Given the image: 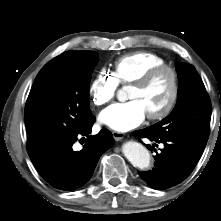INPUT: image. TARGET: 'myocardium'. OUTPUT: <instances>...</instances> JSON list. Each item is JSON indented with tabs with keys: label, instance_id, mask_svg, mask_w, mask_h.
Listing matches in <instances>:
<instances>
[{
	"label": "myocardium",
	"instance_id": "obj_1",
	"mask_svg": "<svg viewBox=\"0 0 221 221\" xmlns=\"http://www.w3.org/2000/svg\"><path fill=\"white\" fill-rule=\"evenodd\" d=\"M163 73H168L171 77V85H172L171 95L167 104L164 106V108L161 111L147 115V117L150 120H162L166 118L176 106L180 94V78L178 71L173 66H170L168 64H163L148 70L143 75H141L137 80L131 83L132 86L145 88L149 86L153 80H155L158 76H160Z\"/></svg>",
	"mask_w": 221,
	"mask_h": 221
}]
</instances>
